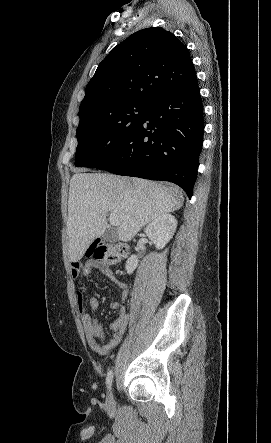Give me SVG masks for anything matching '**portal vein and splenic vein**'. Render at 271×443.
I'll return each mask as SVG.
<instances>
[{
	"instance_id": "1",
	"label": "portal vein and splenic vein",
	"mask_w": 271,
	"mask_h": 443,
	"mask_svg": "<svg viewBox=\"0 0 271 443\" xmlns=\"http://www.w3.org/2000/svg\"><path fill=\"white\" fill-rule=\"evenodd\" d=\"M109 222L111 223V225H119V223H120V222H118V218H117L116 214H110Z\"/></svg>"
}]
</instances>
